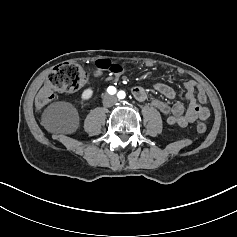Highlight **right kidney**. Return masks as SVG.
Wrapping results in <instances>:
<instances>
[{"mask_svg": "<svg viewBox=\"0 0 237 237\" xmlns=\"http://www.w3.org/2000/svg\"><path fill=\"white\" fill-rule=\"evenodd\" d=\"M93 95H94V89L89 87L81 92L80 99L82 102H87L93 98Z\"/></svg>", "mask_w": 237, "mask_h": 237, "instance_id": "obj_1", "label": "right kidney"}]
</instances>
